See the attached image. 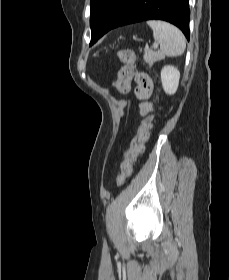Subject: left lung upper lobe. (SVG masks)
<instances>
[{
  "instance_id": "5c2ea615",
  "label": "left lung upper lobe",
  "mask_w": 229,
  "mask_h": 280,
  "mask_svg": "<svg viewBox=\"0 0 229 280\" xmlns=\"http://www.w3.org/2000/svg\"><path fill=\"white\" fill-rule=\"evenodd\" d=\"M133 0H90L91 43L111 30Z\"/></svg>"
}]
</instances>
